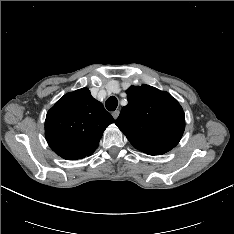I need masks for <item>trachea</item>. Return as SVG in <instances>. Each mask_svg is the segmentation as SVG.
Returning a JSON list of instances; mask_svg holds the SVG:
<instances>
[{
    "label": "trachea",
    "instance_id": "3493384b",
    "mask_svg": "<svg viewBox=\"0 0 234 234\" xmlns=\"http://www.w3.org/2000/svg\"><path fill=\"white\" fill-rule=\"evenodd\" d=\"M105 105H106L107 110L115 111V109L117 108V105H118V101H117L116 97L111 96L106 100Z\"/></svg>",
    "mask_w": 234,
    "mask_h": 234
}]
</instances>
